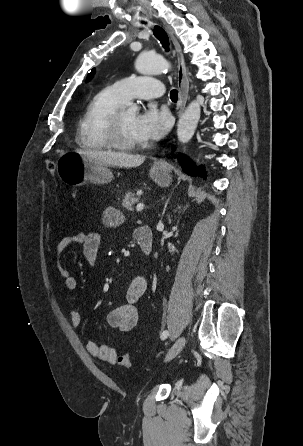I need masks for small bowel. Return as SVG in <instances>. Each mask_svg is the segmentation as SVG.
<instances>
[{
  "label": "small bowel",
  "instance_id": "small-bowel-1",
  "mask_svg": "<svg viewBox=\"0 0 303 446\" xmlns=\"http://www.w3.org/2000/svg\"><path fill=\"white\" fill-rule=\"evenodd\" d=\"M123 220L121 213L115 208H109L105 211L103 221L109 227L119 225ZM80 245L83 255L89 265H94L100 245L101 236L96 232L77 231L76 233L63 237L56 246V256L60 257L69 247ZM57 270L64 280V286L68 291H73L78 287V280L73 277L69 270L65 268L59 260H57ZM147 279L143 275H138L132 279L126 291V303L112 309L107 315V322L111 327L118 329L120 332H129L133 330L138 323V310L136 303L142 297L147 289ZM71 321L74 327L80 326L82 317L80 313L72 309L70 311ZM87 352L101 361L115 364L117 354L113 347L97 344L89 341L86 344Z\"/></svg>",
  "mask_w": 303,
  "mask_h": 446
}]
</instances>
